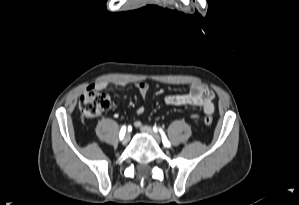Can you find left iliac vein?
Listing matches in <instances>:
<instances>
[{
	"instance_id": "left-iliac-vein-1",
	"label": "left iliac vein",
	"mask_w": 299,
	"mask_h": 205,
	"mask_svg": "<svg viewBox=\"0 0 299 205\" xmlns=\"http://www.w3.org/2000/svg\"><path fill=\"white\" fill-rule=\"evenodd\" d=\"M140 130L144 133L151 135L157 143L161 142L160 136L157 133H155L151 127L144 125V126H141Z\"/></svg>"
}]
</instances>
